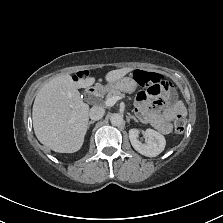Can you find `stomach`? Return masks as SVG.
I'll return each mask as SVG.
<instances>
[{
	"label": "stomach",
	"instance_id": "stomach-1",
	"mask_svg": "<svg viewBox=\"0 0 223 223\" xmlns=\"http://www.w3.org/2000/svg\"><path fill=\"white\" fill-rule=\"evenodd\" d=\"M138 80L130 75V77L121 78L115 82L107 84L108 90L111 88H117L125 90V92L131 93L135 90L138 85ZM103 92V91H102Z\"/></svg>",
	"mask_w": 223,
	"mask_h": 223
}]
</instances>
